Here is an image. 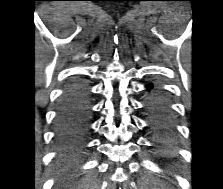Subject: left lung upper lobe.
Segmentation results:
<instances>
[{"instance_id":"5c2ea615","label":"left lung upper lobe","mask_w":223,"mask_h":189,"mask_svg":"<svg viewBox=\"0 0 223 189\" xmlns=\"http://www.w3.org/2000/svg\"><path fill=\"white\" fill-rule=\"evenodd\" d=\"M153 127L161 136L165 135V133L169 131L168 129L158 126V125H153Z\"/></svg>"}]
</instances>
